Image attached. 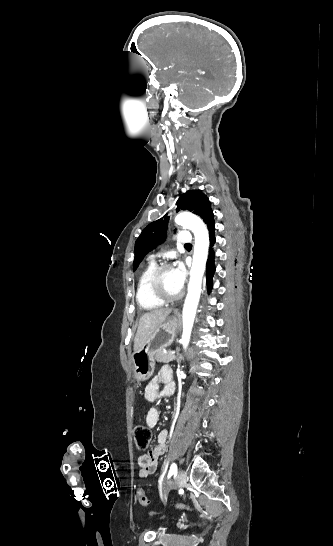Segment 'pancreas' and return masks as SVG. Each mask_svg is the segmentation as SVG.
I'll return each mask as SVG.
<instances>
[{"mask_svg": "<svg viewBox=\"0 0 333 546\" xmlns=\"http://www.w3.org/2000/svg\"><path fill=\"white\" fill-rule=\"evenodd\" d=\"M174 359H175L174 354L165 353L163 351H160L156 356V360L158 362H162V363H168V362L173 361Z\"/></svg>", "mask_w": 333, "mask_h": 546, "instance_id": "1", "label": "pancreas"}]
</instances>
